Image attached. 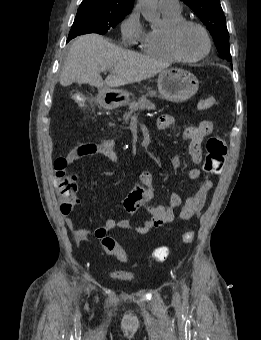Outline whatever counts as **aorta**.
Wrapping results in <instances>:
<instances>
[{
  "mask_svg": "<svg viewBox=\"0 0 261 340\" xmlns=\"http://www.w3.org/2000/svg\"><path fill=\"white\" fill-rule=\"evenodd\" d=\"M157 2L158 0H138V6L141 9L142 15L149 22H157L159 20Z\"/></svg>",
  "mask_w": 261,
  "mask_h": 340,
  "instance_id": "1",
  "label": "aorta"
}]
</instances>
